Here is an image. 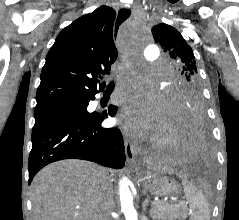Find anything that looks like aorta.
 I'll return each mask as SVG.
<instances>
[{"mask_svg": "<svg viewBox=\"0 0 239 220\" xmlns=\"http://www.w3.org/2000/svg\"><path fill=\"white\" fill-rule=\"evenodd\" d=\"M123 40H142L141 33H124ZM124 46H145L146 57L145 61H158L157 48H149L150 45H124ZM140 58V57H139ZM130 180L123 177L119 181V197L121 211L125 215L126 220H138V214L134 208L133 195L129 188Z\"/></svg>", "mask_w": 239, "mask_h": 220, "instance_id": "762f6f07", "label": "aorta"}]
</instances>
